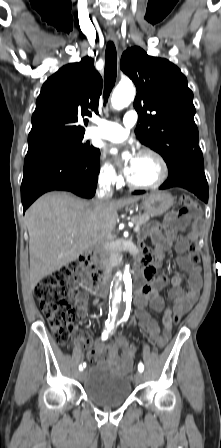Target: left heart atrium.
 <instances>
[{
    "instance_id": "1",
    "label": "left heart atrium",
    "mask_w": 221,
    "mask_h": 448,
    "mask_svg": "<svg viewBox=\"0 0 221 448\" xmlns=\"http://www.w3.org/2000/svg\"><path fill=\"white\" fill-rule=\"evenodd\" d=\"M108 153L112 157H117L119 150L116 147H111L108 149ZM137 157H133L128 163L123 166L124 173L130 177L136 168Z\"/></svg>"
}]
</instances>
